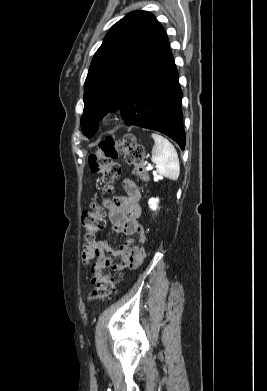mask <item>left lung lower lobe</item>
Listing matches in <instances>:
<instances>
[{
	"label": "left lung lower lobe",
	"instance_id": "1",
	"mask_svg": "<svg viewBox=\"0 0 267 391\" xmlns=\"http://www.w3.org/2000/svg\"><path fill=\"white\" fill-rule=\"evenodd\" d=\"M181 99L178 72L168 48L126 97L120 108L122 118L127 126L135 125L167 135L184 150ZM93 133L92 130L85 135L91 137Z\"/></svg>",
	"mask_w": 267,
	"mask_h": 391
}]
</instances>
